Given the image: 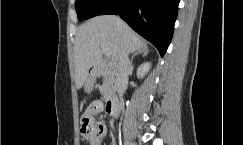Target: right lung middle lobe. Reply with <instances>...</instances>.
Here are the masks:
<instances>
[{
  "label": "right lung middle lobe",
  "mask_w": 243,
  "mask_h": 145,
  "mask_svg": "<svg viewBox=\"0 0 243 145\" xmlns=\"http://www.w3.org/2000/svg\"><path fill=\"white\" fill-rule=\"evenodd\" d=\"M102 0H76V12L78 20H82Z\"/></svg>",
  "instance_id": "dd1d6c3e"
}]
</instances>
